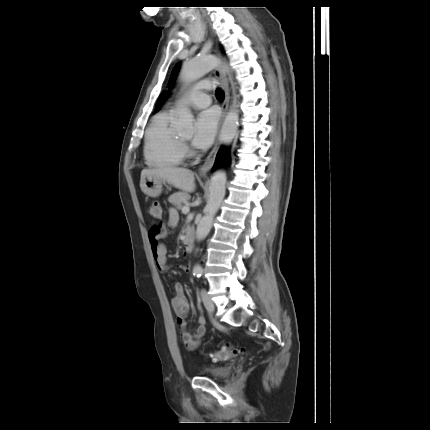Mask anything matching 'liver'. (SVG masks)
Here are the masks:
<instances>
[{"mask_svg":"<svg viewBox=\"0 0 430 430\" xmlns=\"http://www.w3.org/2000/svg\"><path fill=\"white\" fill-rule=\"evenodd\" d=\"M145 176L161 178L163 181L185 192L194 191V172L186 168L164 166L153 169H143L141 172V179Z\"/></svg>","mask_w":430,"mask_h":430,"instance_id":"liver-1","label":"liver"}]
</instances>
